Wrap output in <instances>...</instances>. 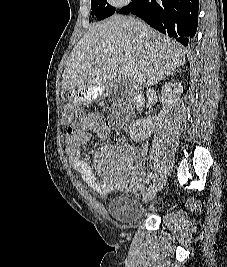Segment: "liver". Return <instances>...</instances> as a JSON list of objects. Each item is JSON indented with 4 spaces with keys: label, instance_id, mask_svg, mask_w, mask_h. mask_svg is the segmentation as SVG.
Here are the masks:
<instances>
[{
    "label": "liver",
    "instance_id": "liver-1",
    "mask_svg": "<svg viewBox=\"0 0 227 267\" xmlns=\"http://www.w3.org/2000/svg\"><path fill=\"white\" fill-rule=\"evenodd\" d=\"M186 50L170 37L133 17L113 15L93 24L78 41L66 61L62 90L88 85L108 86L116 80L120 65L133 70L131 86L144 90L185 64Z\"/></svg>",
    "mask_w": 227,
    "mask_h": 267
}]
</instances>
